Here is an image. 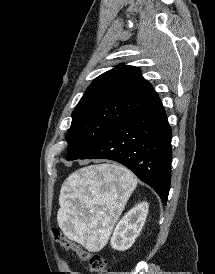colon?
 <instances>
[{
    "label": "colon",
    "mask_w": 215,
    "mask_h": 274,
    "mask_svg": "<svg viewBox=\"0 0 215 274\" xmlns=\"http://www.w3.org/2000/svg\"><path fill=\"white\" fill-rule=\"evenodd\" d=\"M53 235L55 240L61 246L66 249L75 251L79 260L81 262L87 263L91 272L95 274H111V271L108 268L107 260L103 256L83 250L81 247L63 235L57 228L53 230Z\"/></svg>",
    "instance_id": "colon-1"
}]
</instances>
